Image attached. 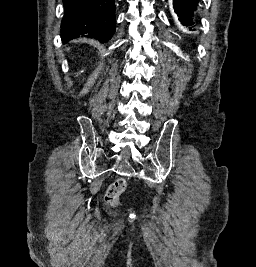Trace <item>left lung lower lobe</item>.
<instances>
[{"label":"left lung lower lobe","mask_w":256,"mask_h":267,"mask_svg":"<svg viewBox=\"0 0 256 267\" xmlns=\"http://www.w3.org/2000/svg\"><path fill=\"white\" fill-rule=\"evenodd\" d=\"M200 0H173V7L175 12L184 26L190 30H195L198 20L194 12L197 9V4Z\"/></svg>","instance_id":"left-lung-lower-lobe-1"}]
</instances>
